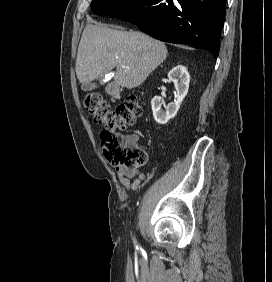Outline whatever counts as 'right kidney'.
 I'll list each match as a JSON object with an SVG mask.
<instances>
[{"mask_svg": "<svg viewBox=\"0 0 272 282\" xmlns=\"http://www.w3.org/2000/svg\"><path fill=\"white\" fill-rule=\"evenodd\" d=\"M168 78L174 83L177 91V100L173 103L164 105V101L161 97L155 96L151 101L153 116L158 124L164 125L170 119L174 118L180 109V105L186 97L189 89L190 75L187 68L183 65H177L169 73ZM162 105L165 110L162 109Z\"/></svg>", "mask_w": 272, "mask_h": 282, "instance_id": "1", "label": "right kidney"}]
</instances>
